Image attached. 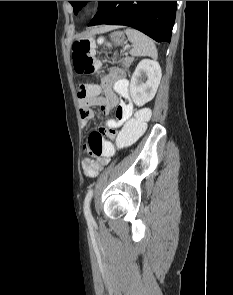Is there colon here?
Listing matches in <instances>:
<instances>
[{"mask_svg":"<svg viewBox=\"0 0 233 295\" xmlns=\"http://www.w3.org/2000/svg\"><path fill=\"white\" fill-rule=\"evenodd\" d=\"M93 46L94 40L91 38L82 39L73 43L72 58L74 69L78 74L90 75L96 71L97 63L92 54ZM77 89L78 97L85 98L98 94L100 86L97 84H79ZM150 116L151 111L147 108H142L136 111L134 117L126 122L120 132L113 129L107 132H91L87 141L90 154L97 157H111L116 148L130 146L145 132ZM104 136L113 139L114 143L105 140Z\"/></svg>","mask_w":233,"mask_h":295,"instance_id":"1","label":"colon"}]
</instances>
